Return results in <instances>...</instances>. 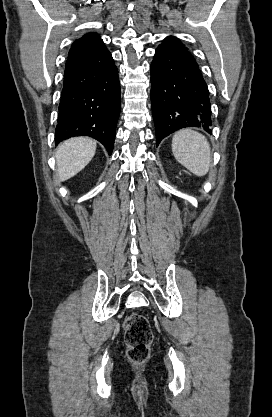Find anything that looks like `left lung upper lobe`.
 <instances>
[{"instance_id":"obj_1","label":"left lung upper lobe","mask_w":272,"mask_h":417,"mask_svg":"<svg viewBox=\"0 0 272 417\" xmlns=\"http://www.w3.org/2000/svg\"><path fill=\"white\" fill-rule=\"evenodd\" d=\"M160 47H166L171 49L188 50L176 37L169 36L165 38Z\"/></svg>"}]
</instances>
